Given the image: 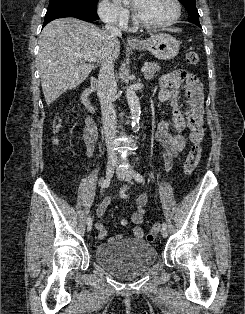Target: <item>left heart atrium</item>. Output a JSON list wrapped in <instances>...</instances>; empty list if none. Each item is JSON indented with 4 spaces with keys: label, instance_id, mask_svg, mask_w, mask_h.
<instances>
[{
    "label": "left heart atrium",
    "instance_id": "39dd6f15",
    "mask_svg": "<svg viewBox=\"0 0 245 314\" xmlns=\"http://www.w3.org/2000/svg\"><path fill=\"white\" fill-rule=\"evenodd\" d=\"M118 1H122V0H118ZM137 2H138V0H134V1H133V3H132V4H133V7H134V8L136 7Z\"/></svg>",
    "mask_w": 245,
    "mask_h": 314
}]
</instances>
